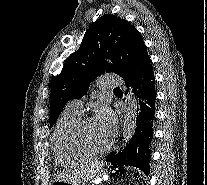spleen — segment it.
<instances>
[{
  "instance_id": "1",
  "label": "spleen",
  "mask_w": 207,
  "mask_h": 185,
  "mask_svg": "<svg viewBox=\"0 0 207 185\" xmlns=\"http://www.w3.org/2000/svg\"><path fill=\"white\" fill-rule=\"evenodd\" d=\"M128 171H139V166H128Z\"/></svg>"
}]
</instances>
